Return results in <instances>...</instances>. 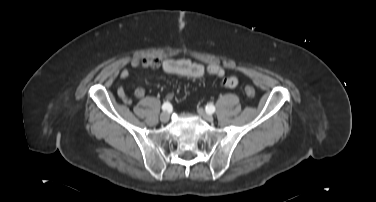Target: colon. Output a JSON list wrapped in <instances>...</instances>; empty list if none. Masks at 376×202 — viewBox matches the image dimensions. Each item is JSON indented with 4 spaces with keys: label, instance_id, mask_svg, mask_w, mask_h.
Masks as SVG:
<instances>
[{
    "label": "colon",
    "instance_id": "colon-1",
    "mask_svg": "<svg viewBox=\"0 0 376 202\" xmlns=\"http://www.w3.org/2000/svg\"><path fill=\"white\" fill-rule=\"evenodd\" d=\"M244 91H245V94H246L247 96H249V97H253V96L256 95V90H255V88H254L253 86H251V85H247V86H245Z\"/></svg>",
    "mask_w": 376,
    "mask_h": 202
}]
</instances>
